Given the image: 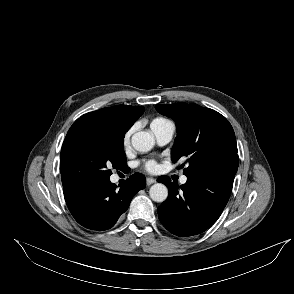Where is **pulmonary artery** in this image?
I'll return each instance as SVG.
<instances>
[{"label":"pulmonary artery","instance_id":"1","mask_svg":"<svg viewBox=\"0 0 294 294\" xmlns=\"http://www.w3.org/2000/svg\"><path fill=\"white\" fill-rule=\"evenodd\" d=\"M174 132H175V126L170 121L169 123L154 130L153 134L159 145H166L172 140ZM186 182H187V177L181 176L180 183L185 184Z\"/></svg>","mask_w":294,"mask_h":294}]
</instances>
